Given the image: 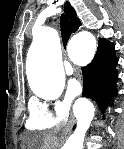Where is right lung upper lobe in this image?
<instances>
[{"label":"right lung upper lobe","instance_id":"obj_1","mask_svg":"<svg viewBox=\"0 0 124 149\" xmlns=\"http://www.w3.org/2000/svg\"><path fill=\"white\" fill-rule=\"evenodd\" d=\"M64 11L67 13V15L71 21L72 31L76 32L79 29V27L81 26V22L78 19V17L76 16V12L72 8V6L70 5L69 2L65 3Z\"/></svg>","mask_w":124,"mask_h":149}]
</instances>
